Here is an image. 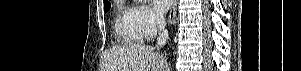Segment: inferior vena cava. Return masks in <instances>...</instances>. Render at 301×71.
Returning a JSON list of instances; mask_svg holds the SVG:
<instances>
[{"label":"inferior vena cava","instance_id":"inferior-vena-cava-1","mask_svg":"<svg viewBox=\"0 0 301 71\" xmlns=\"http://www.w3.org/2000/svg\"><path fill=\"white\" fill-rule=\"evenodd\" d=\"M157 24L159 28V36L157 38V45L156 46H164L169 38L168 31L166 27V21L163 15L158 14L156 16Z\"/></svg>","mask_w":301,"mask_h":71}]
</instances>
